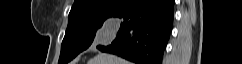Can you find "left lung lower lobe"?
Wrapping results in <instances>:
<instances>
[{
    "label": "left lung lower lobe",
    "instance_id": "1",
    "mask_svg": "<svg viewBox=\"0 0 242 64\" xmlns=\"http://www.w3.org/2000/svg\"><path fill=\"white\" fill-rule=\"evenodd\" d=\"M111 18L121 21L117 37L101 52L136 64H161L172 32L174 0H128Z\"/></svg>",
    "mask_w": 242,
    "mask_h": 64
}]
</instances>
